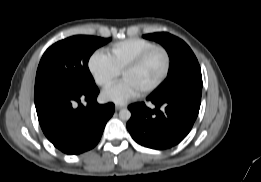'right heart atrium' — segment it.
<instances>
[{
	"mask_svg": "<svg viewBox=\"0 0 261 182\" xmlns=\"http://www.w3.org/2000/svg\"><path fill=\"white\" fill-rule=\"evenodd\" d=\"M88 70L94 82L104 89L114 84L120 75V71L102 51L92 53L88 60Z\"/></svg>",
	"mask_w": 261,
	"mask_h": 182,
	"instance_id": "right-heart-atrium-1",
	"label": "right heart atrium"
}]
</instances>
